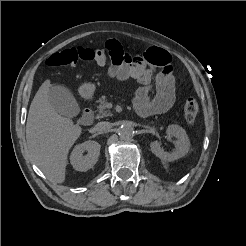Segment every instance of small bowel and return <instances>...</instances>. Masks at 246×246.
<instances>
[{"mask_svg": "<svg viewBox=\"0 0 246 246\" xmlns=\"http://www.w3.org/2000/svg\"><path fill=\"white\" fill-rule=\"evenodd\" d=\"M106 49L111 53L114 49L121 52L120 57L112 56L108 75L120 81L133 79L140 84L134 98V109L140 116L161 114L173 106L176 99L175 77L167 51L153 47L132 57L116 40H108ZM159 67L161 71L157 73ZM153 87L156 92L152 97Z\"/></svg>", "mask_w": 246, "mask_h": 246, "instance_id": "1", "label": "small bowel"}]
</instances>
